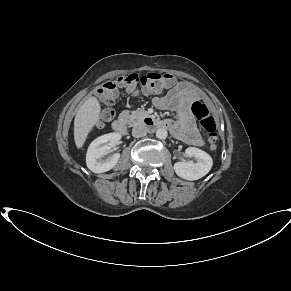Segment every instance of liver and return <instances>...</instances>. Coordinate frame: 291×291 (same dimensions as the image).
Masks as SVG:
<instances>
[{"mask_svg":"<svg viewBox=\"0 0 291 291\" xmlns=\"http://www.w3.org/2000/svg\"><path fill=\"white\" fill-rule=\"evenodd\" d=\"M101 105L94 96L89 97L79 108L74 119V141L81 149L93 127L99 123Z\"/></svg>","mask_w":291,"mask_h":291,"instance_id":"6515ba94","label":"liver"}]
</instances>
